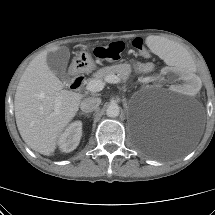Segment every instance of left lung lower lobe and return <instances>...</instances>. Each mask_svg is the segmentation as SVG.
Wrapping results in <instances>:
<instances>
[{
  "instance_id": "left-lung-lower-lobe-1",
  "label": "left lung lower lobe",
  "mask_w": 215,
  "mask_h": 215,
  "mask_svg": "<svg viewBox=\"0 0 215 215\" xmlns=\"http://www.w3.org/2000/svg\"><path fill=\"white\" fill-rule=\"evenodd\" d=\"M176 152H177V149L168 148V149H166V150H164L162 152V155H164V156H171V155L175 154Z\"/></svg>"
}]
</instances>
